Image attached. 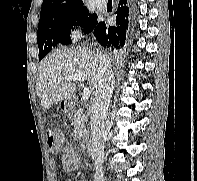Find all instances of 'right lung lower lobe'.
<instances>
[{"label": "right lung lower lobe", "mask_w": 197, "mask_h": 181, "mask_svg": "<svg viewBox=\"0 0 197 181\" xmlns=\"http://www.w3.org/2000/svg\"><path fill=\"white\" fill-rule=\"evenodd\" d=\"M134 0H119L116 14V24L106 26L105 22H98L92 32L98 41L105 47L119 49L124 46L128 27L132 22L134 14Z\"/></svg>", "instance_id": "right-lung-lower-lobe-1"}]
</instances>
